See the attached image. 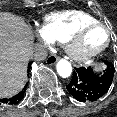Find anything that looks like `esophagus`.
Segmentation results:
<instances>
[{
  "mask_svg": "<svg viewBox=\"0 0 117 117\" xmlns=\"http://www.w3.org/2000/svg\"><path fill=\"white\" fill-rule=\"evenodd\" d=\"M57 61H58V56H56V55H50V56L46 59V62H47L49 65H54Z\"/></svg>",
  "mask_w": 117,
  "mask_h": 117,
  "instance_id": "esophagus-1",
  "label": "esophagus"
}]
</instances>
